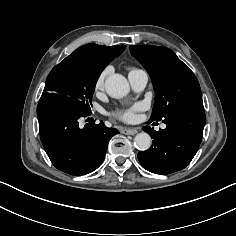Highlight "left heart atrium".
<instances>
[{"label":"left heart atrium","instance_id":"obj_1","mask_svg":"<svg viewBox=\"0 0 236 236\" xmlns=\"http://www.w3.org/2000/svg\"><path fill=\"white\" fill-rule=\"evenodd\" d=\"M143 106L140 103L134 104L127 108L117 109L115 116L123 121L132 122L136 118V113L142 110Z\"/></svg>","mask_w":236,"mask_h":236}]
</instances>
